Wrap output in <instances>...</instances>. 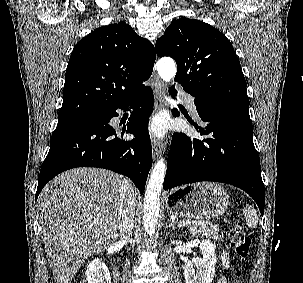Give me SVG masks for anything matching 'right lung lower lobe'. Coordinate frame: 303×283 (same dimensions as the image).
Listing matches in <instances>:
<instances>
[{
	"mask_svg": "<svg viewBox=\"0 0 303 283\" xmlns=\"http://www.w3.org/2000/svg\"><path fill=\"white\" fill-rule=\"evenodd\" d=\"M154 105L150 87H145L133 98L101 111L95 121L57 124L50 140V150L40 174L36 199L43 187L56 175L75 167H97L128 176L143 194L152 166V147L148 121ZM133 111L127 123V133L135 138L125 141L109 125L118 116L117 109Z\"/></svg>",
	"mask_w": 303,
	"mask_h": 283,
	"instance_id": "obj_1",
	"label": "right lung lower lobe"
}]
</instances>
